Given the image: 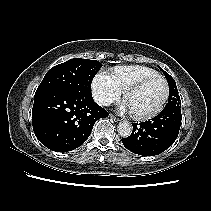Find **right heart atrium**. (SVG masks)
Returning a JSON list of instances; mask_svg holds the SVG:
<instances>
[{
  "instance_id": "right-heart-atrium-1",
  "label": "right heart atrium",
  "mask_w": 211,
  "mask_h": 211,
  "mask_svg": "<svg viewBox=\"0 0 211 211\" xmlns=\"http://www.w3.org/2000/svg\"><path fill=\"white\" fill-rule=\"evenodd\" d=\"M95 101L101 106H109L120 99L122 90L113 75L105 70L99 71L91 84Z\"/></svg>"
}]
</instances>
